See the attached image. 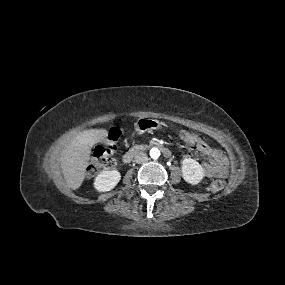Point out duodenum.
I'll return each instance as SVG.
<instances>
[{
    "label": "duodenum",
    "instance_id": "1",
    "mask_svg": "<svg viewBox=\"0 0 285 285\" xmlns=\"http://www.w3.org/2000/svg\"><path fill=\"white\" fill-rule=\"evenodd\" d=\"M158 147L160 148L161 152L166 158H169L171 156V152L167 147L165 146H158ZM147 148H148L147 145H137L132 147L131 149H129L124 153L122 161L124 163H129L136 154L146 150Z\"/></svg>",
    "mask_w": 285,
    "mask_h": 285
}]
</instances>
